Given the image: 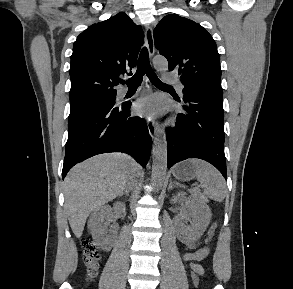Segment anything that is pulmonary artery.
I'll return each mask as SVG.
<instances>
[{
    "label": "pulmonary artery",
    "mask_w": 293,
    "mask_h": 289,
    "mask_svg": "<svg viewBox=\"0 0 293 289\" xmlns=\"http://www.w3.org/2000/svg\"><path fill=\"white\" fill-rule=\"evenodd\" d=\"M164 79H165V81H167V82L176 83V84L178 85L179 90L182 91V89H183V85H182L180 82H178L177 79L171 77L170 74H166ZM126 92H127V89L124 88V89L121 91V95H124Z\"/></svg>",
    "instance_id": "obj_1"
}]
</instances>
